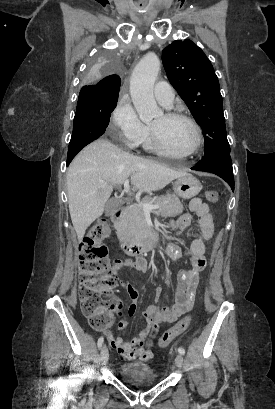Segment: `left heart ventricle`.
Returning <instances> with one entry per match:
<instances>
[{
  "label": "left heart ventricle",
  "instance_id": "obj_1",
  "mask_svg": "<svg viewBox=\"0 0 275 409\" xmlns=\"http://www.w3.org/2000/svg\"><path fill=\"white\" fill-rule=\"evenodd\" d=\"M158 131L166 145L173 151L183 153L194 143V131L189 123L183 120L166 121L164 115L158 117L151 125Z\"/></svg>",
  "mask_w": 275,
  "mask_h": 409
}]
</instances>
